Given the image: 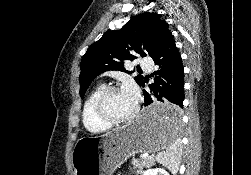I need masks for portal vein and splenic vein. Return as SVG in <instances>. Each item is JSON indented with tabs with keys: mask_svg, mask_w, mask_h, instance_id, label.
I'll return each mask as SVG.
<instances>
[{
	"mask_svg": "<svg viewBox=\"0 0 251 175\" xmlns=\"http://www.w3.org/2000/svg\"><path fill=\"white\" fill-rule=\"evenodd\" d=\"M141 157H142V158H147V157H148V154H147V153H142V154H141Z\"/></svg>",
	"mask_w": 251,
	"mask_h": 175,
	"instance_id": "portal-vein-and-splenic-vein-1",
	"label": "portal vein and splenic vein"
}]
</instances>
